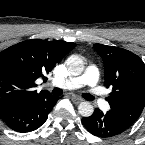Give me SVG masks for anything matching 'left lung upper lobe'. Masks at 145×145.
I'll return each instance as SVG.
<instances>
[{
  "mask_svg": "<svg viewBox=\"0 0 145 145\" xmlns=\"http://www.w3.org/2000/svg\"><path fill=\"white\" fill-rule=\"evenodd\" d=\"M105 66V85L112 92L107 98V114L126 128L131 127L145 106V64L134 53L102 44H94Z\"/></svg>",
  "mask_w": 145,
  "mask_h": 145,
  "instance_id": "1",
  "label": "left lung upper lobe"
}]
</instances>
